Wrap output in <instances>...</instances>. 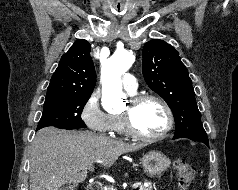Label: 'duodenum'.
<instances>
[{"mask_svg": "<svg viewBox=\"0 0 238 190\" xmlns=\"http://www.w3.org/2000/svg\"><path fill=\"white\" fill-rule=\"evenodd\" d=\"M87 190H103V187L100 183H91L89 186H88V189Z\"/></svg>", "mask_w": 238, "mask_h": 190, "instance_id": "obj_1", "label": "duodenum"}]
</instances>
